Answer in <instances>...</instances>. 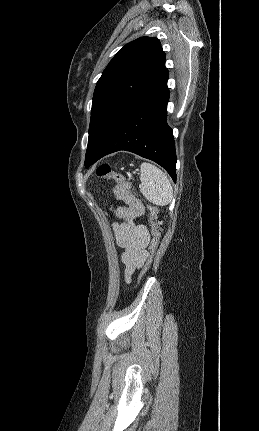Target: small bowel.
Here are the masks:
<instances>
[{"instance_id":"c3829d8e","label":"small bowel","mask_w":259,"mask_h":431,"mask_svg":"<svg viewBox=\"0 0 259 431\" xmlns=\"http://www.w3.org/2000/svg\"><path fill=\"white\" fill-rule=\"evenodd\" d=\"M113 228L117 244L124 249L121 260L125 267V281L129 283L132 275L148 258L149 231L144 225H136L133 220L124 218Z\"/></svg>"}]
</instances>
